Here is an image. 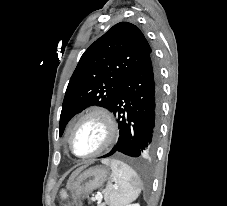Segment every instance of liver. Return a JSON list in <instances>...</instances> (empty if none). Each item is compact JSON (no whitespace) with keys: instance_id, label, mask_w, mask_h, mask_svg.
Instances as JSON below:
<instances>
[{"instance_id":"obj_1","label":"liver","mask_w":227,"mask_h":206,"mask_svg":"<svg viewBox=\"0 0 227 206\" xmlns=\"http://www.w3.org/2000/svg\"><path fill=\"white\" fill-rule=\"evenodd\" d=\"M85 167H86V166H83V167L79 168L78 170H76L75 172L72 173V175L70 176V178H69V180H68V182H67V187H70V186L73 184L75 178L78 176V174H79Z\"/></svg>"}]
</instances>
